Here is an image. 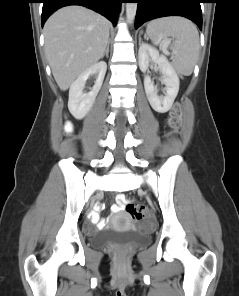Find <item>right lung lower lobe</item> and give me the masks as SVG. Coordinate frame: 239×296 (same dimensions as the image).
Returning <instances> with one entry per match:
<instances>
[{"mask_svg":"<svg viewBox=\"0 0 239 296\" xmlns=\"http://www.w3.org/2000/svg\"><path fill=\"white\" fill-rule=\"evenodd\" d=\"M42 8V27L48 17L57 9L67 5H81L88 7L113 22L116 25L120 4L123 0H41Z\"/></svg>","mask_w":239,"mask_h":296,"instance_id":"98d812e1","label":"right lung lower lobe"}]
</instances>
